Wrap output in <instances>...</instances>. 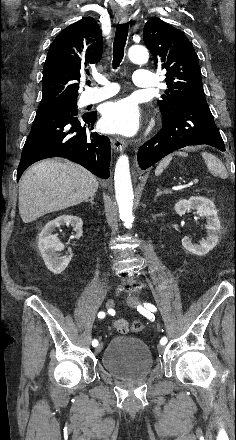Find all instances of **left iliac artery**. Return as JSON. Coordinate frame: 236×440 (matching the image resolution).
<instances>
[{"mask_svg":"<svg viewBox=\"0 0 236 440\" xmlns=\"http://www.w3.org/2000/svg\"><path fill=\"white\" fill-rule=\"evenodd\" d=\"M144 308H146L147 310L152 311V312H156L157 311L156 307L153 304H151V303H144ZM144 308L141 305L137 306V310L140 313H142L143 315H148V311L146 309H144ZM160 343L162 345H165L167 343V338L166 337H162L161 340H160Z\"/></svg>","mask_w":236,"mask_h":440,"instance_id":"1","label":"left iliac artery"}]
</instances>
